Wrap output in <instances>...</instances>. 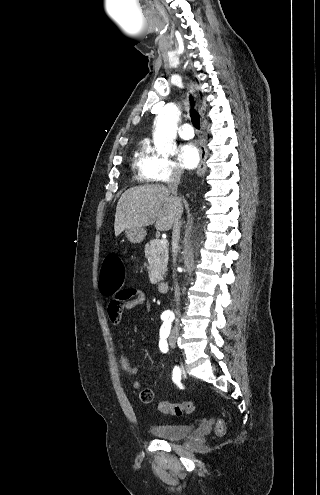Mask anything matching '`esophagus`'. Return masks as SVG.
<instances>
[{
  "instance_id": "1",
  "label": "esophagus",
  "mask_w": 320,
  "mask_h": 495,
  "mask_svg": "<svg viewBox=\"0 0 320 495\" xmlns=\"http://www.w3.org/2000/svg\"><path fill=\"white\" fill-rule=\"evenodd\" d=\"M207 149L205 146L200 147V163L197 169V175L201 177L206 171Z\"/></svg>"
}]
</instances>
